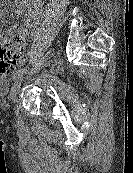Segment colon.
I'll return each instance as SVG.
<instances>
[{"label":"colon","mask_w":133,"mask_h":173,"mask_svg":"<svg viewBox=\"0 0 133 173\" xmlns=\"http://www.w3.org/2000/svg\"><path fill=\"white\" fill-rule=\"evenodd\" d=\"M23 38L15 35L9 42L0 47V76L10 73L24 61Z\"/></svg>","instance_id":"5ec220e1"}]
</instances>
